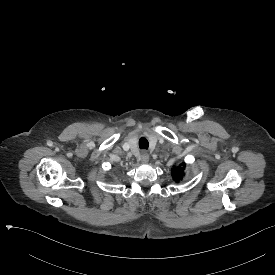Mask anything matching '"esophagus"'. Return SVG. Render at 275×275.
Instances as JSON below:
<instances>
[{"label":"esophagus","mask_w":275,"mask_h":275,"mask_svg":"<svg viewBox=\"0 0 275 275\" xmlns=\"http://www.w3.org/2000/svg\"><path fill=\"white\" fill-rule=\"evenodd\" d=\"M141 162L143 164H147L149 162V155H148V153L146 151H143L141 153Z\"/></svg>","instance_id":"esophagus-1"}]
</instances>
